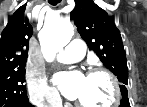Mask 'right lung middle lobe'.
<instances>
[{"mask_svg": "<svg viewBox=\"0 0 147 107\" xmlns=\"http://www.w3.org/2000/svg\"><path fill=\"white\" fill-rule=\"evenodd\" d=\"M25 67L0 74V107H14L28 102Z\"/></svg>", "mask_w": 147, "mask_h": 107, "instance_id": "obj_1", "label": "right lung middle lobe"}]
</instances>
